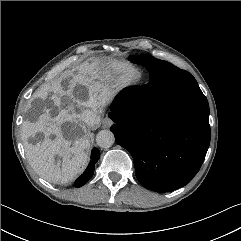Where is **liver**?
Returning a JSON list of instances; mask_svg holds the SVG:
<instances>
[{
    "instance_id": "liver-1",
    "label": "liver",
    "mask_w": 241,
    "mask_h": 241,
    "mask_svg": "<svg viewBox=\"0 0 241 241\" xmlns=\"http://www.w3.org/2000/svg\"><path fill=\"white\" fill-rule=\"evenodd\" d=\"M99 69L96 60L90 65L79 67L76 74L71 72L66 86L61 84L63 78L52 81L46 91L35 97L42 101L41 107L35 109L37 118L22 124L27 159L33 169L48 182L67 183L87 165L90 140L86 126L80 119L81 114L85 108L100 114L113 94L104 83ZM79 87L87 89L84 97L76 93ZM48 92H52L50 97ZM99 121L97 116L92 125H97ZM37 133H43L44 139L36 144L29 143V138ZM56 156H60L61 160L55 161Z\"/></svg>"
}]
</instances>
